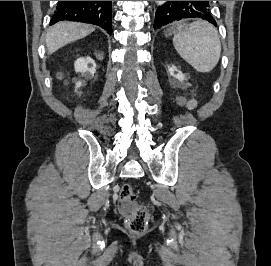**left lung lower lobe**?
<instances>
[{
  "label": "left lung lower lobe",
  "mask_w": 271,
  "mask_h": 266,
  "mask_svg": "<svg viewBox=\"0 0 271 266\" xmlns=\"http://www.w3.org/2000/svg\"><path fill=\"white\" fill-rule=\"evenodd\" d=\"M183 18H200L216 26L209 1H166L156 11L154 29Z\"/></svg>",
  "instance_id": "0a47b994"
}]
</instances>
